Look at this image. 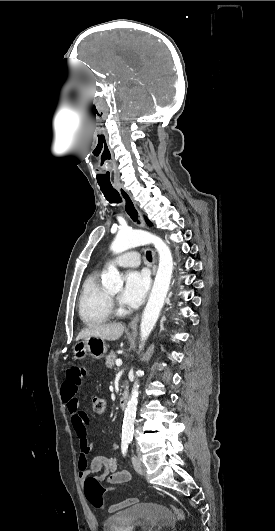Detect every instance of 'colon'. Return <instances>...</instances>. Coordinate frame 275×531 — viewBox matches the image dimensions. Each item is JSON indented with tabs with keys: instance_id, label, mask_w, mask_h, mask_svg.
<instances>
[{
	"instance_id": "1",
	"label": "colon",
	"mask_w": 275,
	"mask_h": 531,
	"mask_svg": "<svg viewBox=\"0 0 275 531\" xmlns=\"http://www.w3.org/2000/svg\"><path fill=\"white\" fill-rule=\"evenodd\" d=\"M68 372V370H67ZM94 413L102 414L106 409V402L103 398L94 396L91 400ZM86 484L84 486L83 494L87 500L92 503V507L96 510L102 511L104 509L101 501L102 494L109 491L110 486L106 482H95L96 478L93 475H88L85 478ZM174 516L178 519H184L185 514L179 507H171Z\"/></svg>"
}]
</instances>
